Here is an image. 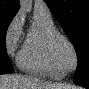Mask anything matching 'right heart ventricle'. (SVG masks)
I'll return each instance as SVG.
<instances>
[{
  "label": "right heart ventricle",
  "instance_id": "right-heart-ventricle-1",
  "mask_svg": "<svg viewBox=\"0 0 89 89\" xmlns=\"http://www.w3.org/2000/svg\"><path fill=\"white\" fill-rule=\"evenodd\" d=\"M57 31L51 15L35 13L17 57L22 70L53 78H62L65 75L56 66L49 50V38Z\"/></svg>",
  "mask_w": 89,
  "mask_h": 89
}]
</instances>
